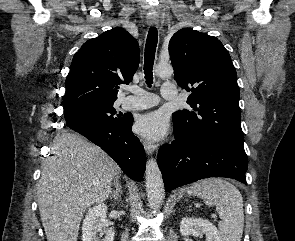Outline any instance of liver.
<instances>
[{"label": "liver", "mask_w": 295, "mask_h": 241, "mask_svg": "<svg viewBox=\"0 0 295 241\" xmlns=\"http://www.w3.org/2000/svg\"><path fill=\"white\" fill-rule=\"evenodd\" d=\"M118 165L98 146L73 133L54 140L37 186L47 241H77L87 208L111 194Z\"/></svg>", "instance_id": "obj_1"}]
</instances>
